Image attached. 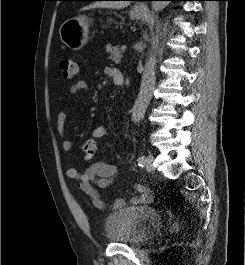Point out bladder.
<instances>
[{"label": "bladder", "instance_id": "bladder-1", "mask_svg": "<svg viewBox=\"0 0 245 265\" xmlns=\"http://www.w3.org/2000/svg\"><path fill=\"white\" fill-rule=\"evenodd\" d=\"M162 221L153 207L129 206L107 216L104 235L113 243L138 245L151 239Z\"/></svg>", "mask_w": 245, "mask_h": 265}]
</instances>
